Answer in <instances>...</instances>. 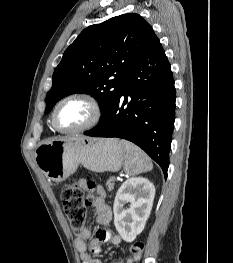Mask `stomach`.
<instances>
[{
    "label": "stomach",
    "instance_id": "0dacf381",
    "mask_svg": "<svg viewBox=\"0 0 233 263\" xmlns=\"http://www.w3.org/2000/svg\"><path fill=\"white\" fill-rule=\"evenodd\" d=\"M124 160V146L115 138L67 136L43 142L35 151L37 166L57 183L73 174L79 164L93 172H116Z\"/></svg>",
    "mask_w": 233,
    "mask_h": 263
}]
</instances>
